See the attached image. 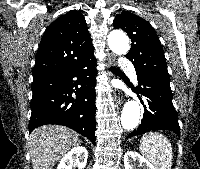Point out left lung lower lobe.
Wrapping results in <instances>:
<instances>
[{
  "instance_id": "obj_1",
  "label": "left lung lower lobe",
  "mask_w": 200,
  "mask_h": 169,
  "mask_svg": "<svg viewBox=\"0 0 200 169\" xmlns=\"http://www.w3.org/2000/svg\"><path fill=\"white\" fill-rule=\"evenodd\" d=\"M136 74L137 90L146 97V104L141 124L127 138L154 130H169L180 136L178 114L172 103L169 81L156 79L139 72Z\"/></svg>"
}]
</instances>
